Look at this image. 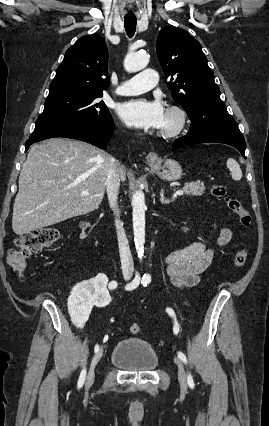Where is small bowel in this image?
<instances>
[{"mask_svg":"<svg viewBox=\"0 0 269 426\" xmlns=\"http://www.w3.org/2000/svg\"><path fill=\"white\" fill-rule=\"evenodd\" d=\"M231 237V230L222 228L216 236V243L218 246H224ZM213 255V250L207 247L204 241L193 242L184 248L171 251L166 262L172 284L180 289L195 286L199 276L211 266Z\"/></svg>","mask_w":269,"mask_h":426,"instance_id":"c3829d8e","label":"small bowel"}]
</instances>
